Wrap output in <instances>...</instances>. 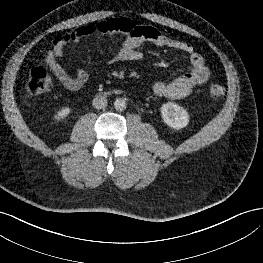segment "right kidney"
Returning <instances> with one entry per match:
<instances>
[{"mask_svg":"<svg viewBox=\"0 0 263 263\" xmlns=\"http://www.w3.org/2000/svg\"><path fill=\"white\" fill-rule=\"evenodd\" d=\"M71 113V109L69 107H64L61 110H59L55 116V120L56 122H60L64 119H66V117Z\"/></svg>","mask_w":263,"mask_h":263,"instance_id":"right-kidney-1","label":"right kidney"}]
</instances>
